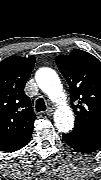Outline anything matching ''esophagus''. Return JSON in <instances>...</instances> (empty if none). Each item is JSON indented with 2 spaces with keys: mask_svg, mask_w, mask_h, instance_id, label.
<instances>
[{
  "mask_svg": "<svg viewBox=\"0 0 101 180\" xmlns=\"http://www.w3.org/2000/svg\"><path fill=\"white\" fill-rule=\"evenodd\" d=\"M53 108H48L47 110H46V114L47 115H52L53 114Z\"/></svg>",
  "mask_w": 101,
  "mask_h": 180,
  "instance_id": "34e87169",
  "label": "esophagus"
}]
</instances>
